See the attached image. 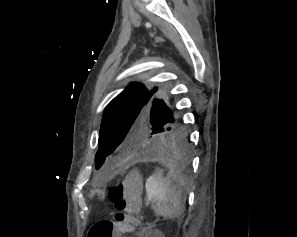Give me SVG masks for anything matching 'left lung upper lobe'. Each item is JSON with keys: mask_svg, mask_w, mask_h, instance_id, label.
I'll use <instances>...</instances> for the list:
<instances>
[{"mask_svg": "<svg viewBox=\"0 0 297 237\" xmlns=\"http://www.w3.org/2000/svg\"><path fill=\"white\" fill-rule=\"evenodd\" d=\"M165 95L162 87L147 89L134 83L106 106L95 156L96 169L109 155L125 161L148 153L152 140L168 125L169 117L176 115L170 103L163 100Z\"/></svg>", "mask_w": 297, "mask_h": 237, "instance_id": "1", "label": "left lung upper lobe"}]
</instances>
